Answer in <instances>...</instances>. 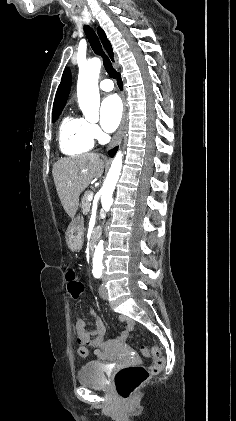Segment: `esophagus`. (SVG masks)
Wrapping results in <instances>:
<instances>
[{"label":"esophagus","mask_w":236,"mask_h":421,"mask_svg":"<svg viewBox=\"0 0 236 421\" xmlns=\"http://www.w3.org/2000/svg\"><path fill=\"white\" fill-rule=\"evenodd\" d=\"M122 101H123L122 120H121L119 128H118L117 132L115 133V135L113 136V138L111 140V143L109 144L108 148H112V147H115L116 145H118V143L120 142V140L122 138V135H123L125 121H126V112H127V104H126V99H125L124 93H122Z\"/></svg>","instance_id":"1"}]
</instances>
